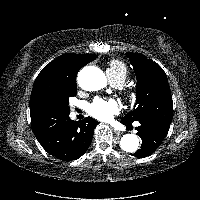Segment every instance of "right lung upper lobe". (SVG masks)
<instances>
[{"instance_id":"1","label":"right lung upper lobe","mask_w":200,"mask_h":200,"mask_svg":"<svg viewBox=\"0 0 200 200\" xmlns=\"http://www.w3.org/2000/svg\"><path fill=\"white\" fill-rule=\"evenodd\" d=\"M96 58L95 54H64L44 67L35 80L30 97L31 120L35 118V103L43 92L60 91L76 84L78 71Z\"/></svg>"}]
</instances>
